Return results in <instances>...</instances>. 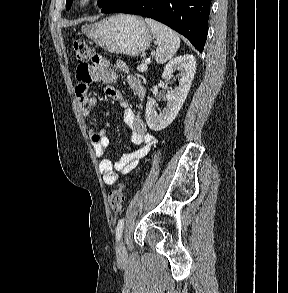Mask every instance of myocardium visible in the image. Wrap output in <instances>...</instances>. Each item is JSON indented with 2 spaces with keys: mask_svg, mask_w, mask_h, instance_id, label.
Here are the masks:
<instances>
[{
  "mask_svg": "<svg viewBox=\"0 0 288 293\" xmlns=\"http://www.w3.org/2000/svg\"><path fill=\"white\" fill-rule=\"evenodd\" d=\"M93 2H94V0H76V1H75V6H76L78 9H86V8L89 7Z\"/></svg>",
  "mask_w": 288,
  "mask_h": 293,
  "instance_id": "1",
  "label": "myocardium"
}]
</instances>
